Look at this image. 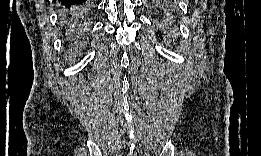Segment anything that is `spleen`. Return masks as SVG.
<instances>
[{
    "label": "spleen",
    "instance_id": "3e777b00",
    "mask_svg": "<svg viewBox=\"0 0 261 156\" xmlns=\"http://www.w3.org/2000/svg\"><path fill=\"white\" fill-rule=\"evenodd\" d=\"M169 22V19H166V23H168Z\"/></svg>",
    "mask_w": 261,
    "mask_h": 156
}]
</instances>
